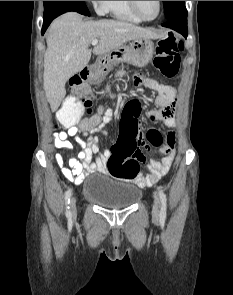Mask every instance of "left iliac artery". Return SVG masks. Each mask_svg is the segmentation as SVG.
Here are the masks:
<instances>
[{
  "mask_svg": "<svg viewBox=\"0 0 233 295\" xmlns=\"http://www.w3.org/2000/svg\"><path fill=\"white\" fill-rule=\"evenodd\" d=\"M159 197H160V200H161V210H160L159 217H160L161 221H164L166 219V202H167V199H166L165 193L161 189H159Z\"/></svg>",
  "mask_w": 233,
  "mask_h": 295,
  "instance_id": "44dca946",
  "label": "left iliac artery"
}]
</instances>
